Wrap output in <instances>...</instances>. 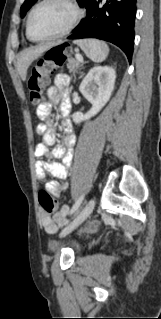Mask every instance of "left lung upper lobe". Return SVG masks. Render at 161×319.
Returning <instances> with one entry per match:
<instances>
[{
  "mask_svg": "<svg viewBox=\"0 0 161 319\" xmlns=\"http://www.w3.org/2000/svg\"><path fill=\"white\" fill-rule=\"evenodd\" d=\"M37 0H25L23 5L21 6L20 15L23 18L26 12L30 9V7L36 2ZM78 4L82 7H87L89 0H77Z\"/></svg>",
  "mask_w": 161,
  "mask_h": 319,
  "instance_id": "left-lung-upper-lobe-1",
  "label": "left lung upper lobe"
}]
</instances>
